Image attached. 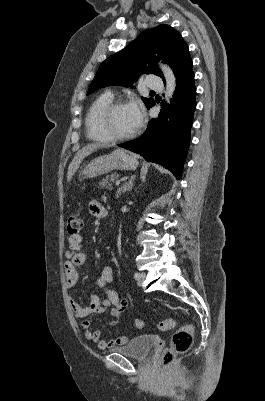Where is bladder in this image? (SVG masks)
<instances>
[{
  "mask_svg": "<svg viewBox=\"0 0 265 401\" xmlns=\"http://www.w3.org/2000/svg\"><path fill=\"white\" fill-rule=\"evenodd\" d=\"M155 345V340L149 335L135 336L126 345L116 348H111V351L121 352L124 356L136 358H146L150 349Z\"/></svg>",
  "mask_w": 265,
  "mask_h": 401,
  "instance_id": "obj_1",
  "label": "bladder"
}]
</instances>
